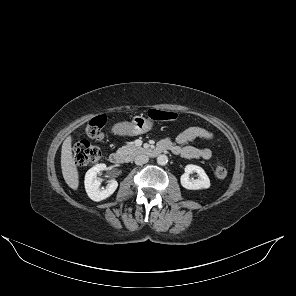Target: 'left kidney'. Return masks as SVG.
Here are the masks:
<instances>
[{
	"mask_svg": "<svg viewBox=\"0 0 296 296\" xmlns=\"http://www.w3.org/2000/svg\"><path fill=\"white\" fill-rule=\"evenodd\" d=\"M196 172L199 175L198 179L192 180L189 178L190 173ZM181 185L189 190L207 189L210 187V180L205 171L197 165H187L185 173L180 178Z\"/></svg>",
	"mask_w": 296,
	"mask_h": 296,
	"instance_id": "left-kidney-1",
	"label": "left kidney"
}]
</instances>
